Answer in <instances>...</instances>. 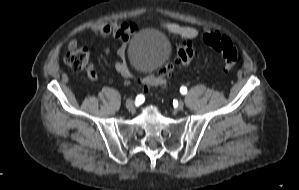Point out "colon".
<instances>
[{
  "label": "colon",
  "mask_w": 299,
  "mask_h": 190,
  "mask_svg": "<svg viewBox=\"0 0 299 190\" xmlns=\"http://www.w3.org/2000/svg\"><path fill=\"white\" fill-rule=\"evenodd\" d=\"M203 40L222 57L226 70L236 66L239 57L238 50L227 36L217 32H206ZM195 54L194 45L191 42H183L177 48L175 61L177 64L189 65L195 58ZM88 58L89 52L85 47L73 45L65 55L64 63L72 70L79 71L87 66ZM173 68L172 63H165L154 73L141 78L140 81L146 90L165 87L167 78L173 74Z\"/></svg>",
  "instance_id": "colon-1"
}]
</instances>
